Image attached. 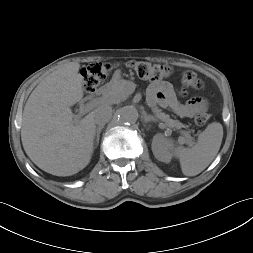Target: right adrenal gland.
Here are the masks:
<instances>
[{
	"instance_id": "1",
	"label": "right adrenal gland",
	"mask_w": 253,
	"mask_h": 253,
	"mask_svg": "<svg viewBox=\"0 0 253 253\" xmlns=\"http://www.w3.org/2000/svg\"><path fill=\"white\" fill-rule=\"evenodd\" d=\"M103 128H104V126L102 125V126L97 127L96 130H95L96 147L99 144L100 133H101V131H102Z\"/></svg>"
}]
</instances>
